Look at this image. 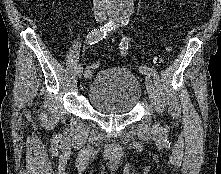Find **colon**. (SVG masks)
<instances>
[{
	"label": "colon",
	"instance_id": "1",
	"mask_svg": "<svg viewBox=\"0 0 221 174\" xmlns=\"http://www.w3.org/2000/svg\"><path fill=\"white\" fill-rule=\"evenodd\" d=\"M200 3H201L200 0L198 2H196V6H199ZM160 61H161V59H157V62H160ZM99 66H100L99 62L94 61L89 65V68L91 70H95V69L99 68Z\"/></svg>",
	"mask_w": 221,
	"mask_h": 174
}]
</instances>
